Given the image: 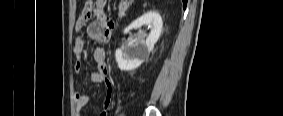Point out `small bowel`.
<instances>
[{
  "instance_id": "obj_1",
  "label": "small bowel",
  "mask_w": 283,
  "mask_h": 116,
  "mask_svg": "<svg viewBox=\"0 0 283 116\" xmlns=\"http://www.w3.org/2000/svg\"><path fill=\"white\" fill-rule=\"evenodd\" d=\"M105 0L88 1L86 7L79 16L76 29L80 30L85 23L94 17L95 20L86 26V34L97 42H106L109 39L110 33L114 28L113 21L104 12L103 3ZM85 49V38L80 35L76 38L74 44V53L77 57L75 66L76 72L81 73L83 67L82 54ZM93 59L95 63V70L91 73V81L93 83H105V100L103 109L98 112V116H107L108 109L114 95V83L108 77V67L105 62V53L101 47H96L93 52ZM89 95L77 92L75 95L76 115L79 116L81 109L89 103Z\"/></svg>"
}]
</instances>
